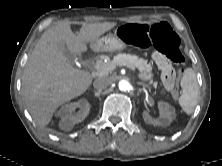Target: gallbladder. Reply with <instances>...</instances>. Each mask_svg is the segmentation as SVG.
<instances>
[{
  "label": "gallbladder",
  "mask_w": 222,
  "mask_h": 166,
  "mask_svg": "<svg viewBox=\"0 0 222 166\" xmlns=\"http://www.w3.org/2000/svg\"><path fill=\"white\" fill-rule=\"evenodd\" d=\"M63 54L67 58V61L74 65L77 57L74 53H72L66 46L63 47Z\"/></svg>",
  "instance_id": "bac80fb5"
}]
</instances>
